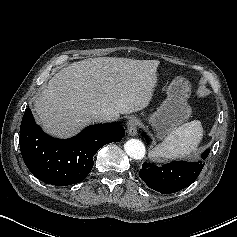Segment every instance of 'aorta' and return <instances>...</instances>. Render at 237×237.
Here are the masks:
<instances>
[{"mask_svg":"<svg viewBox=\"0 0 237 237\" xmlns=\"http://www.w3.org/2000/svg\"><path fill=\"white\" fill-rule=\"evenodd\" d=\"M124 149L129 157L140 160L145 156V146L138 139H130L124 144Z\"/></svg>","mask_w":237,"mask_h":237,"instance_id":"762f6f07","label":"aorta"}]
</instances>
